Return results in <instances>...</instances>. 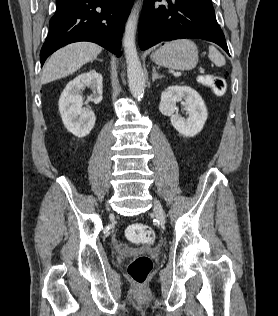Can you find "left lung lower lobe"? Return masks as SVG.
Segmentation results:
<instances>
[{
  "label": "left lung lower lobe",
  "instance_id": "obj_1",
  "mask_svg": "<svg viewBox=\"0 0 278 316\" xmlns=\"http://www.w3.org/2000/svg\"><path fill=\"white\" fill-rule=\"evenodd\" d=\"M155 1L144 0L139 25L142 50L161 41L196 38L214 42L229 54L214 9L197 0H167L166 6H155Z\"/></svg>",
  "mask_w": 278,
  "mask_h": 316
}]
</instances>
